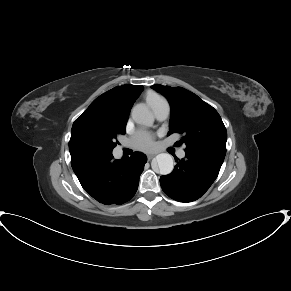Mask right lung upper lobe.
<instances>
[{
	"label": "right lung upper lobe",
	"mask_w": 291,
	"mask_h": 291,
	"mask_svg": "<svg viewBox=\"0 0 291 291\" xmlns=\"http://www.w3.org/2000/svg\"><path fill=\"white\" fill-rule=\"evenodd\" d=\"M142 90L141 85H122L95 99L73 123L69 141L71 158L83 155L78 142L84 132L126 128L131 107Z\"/></svg>",
	"instance_id": "cb5924a9"
}]
</instances>
